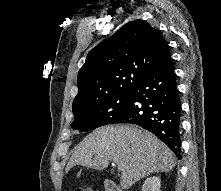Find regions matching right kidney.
Here are the masks:
<instances>
[{
    "mask_svg": "<svg viewBox=\"0 0 221 191\" xmlns=\"http://www.w3.org/2000/svg\"><path fill=\"white\" fill-rule=\"evenodd\" d=\"M161 179L160 177L153 176L145 180L142 191H160Z\"/></svg>",
    "mask_w": 221,
    "mask_h": 191,
    "instance_id": "1",
    "label": "right kidney"
}]
</instances>
